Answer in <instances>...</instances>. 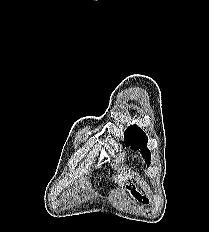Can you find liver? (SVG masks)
I'll return each mask as SVG.
<instances>
[{
    "mask_svg": "<svg viewBox=\"0 0 209 232\" xmlns=\"http://www.w3.org/2000/svg\"><path fill=\"white\" fill-rule=\"evenodd\" d=\"M128 178H130V175L129 174H127V173H124L123 174V172L121 171H119V174L117 175V176H114V180H115V182H118V184H119V186H123L124 185V183H125V181L128 179ZM73 194V191L71 192V191H68L67 193H66V197H69V195H72Z\"/></svg>",
    "mask_w": 209,
    "mask_h": 232,
    "instance_id": "6515ba94",
    "label": "liver"
}]
</instances>
